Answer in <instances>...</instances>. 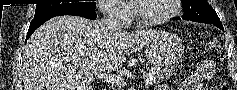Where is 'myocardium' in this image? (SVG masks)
<instances>
[{
    "instance_id": "1",
    "label": "myocardium",
    "mask_w": 237,
    "mask_h": 90,
    "mask_svg": "<svg viewBox=\"0 0 237 90\" xmlns=\"http://www.w3.org/2000/svg\"><path fill=\"white\" fill-rule=\"evenodd\" d=\"M139 1H148V0H139ZM169 3V10L157 18L147 19L139 15L138 9L136 7V1L130 2V10L133 18L132 28H153L157 25H160L166 21H169L176 17L178 14L180 6L178 3H183L184 0H165Z\"/></svg>"
}]
</instances>
